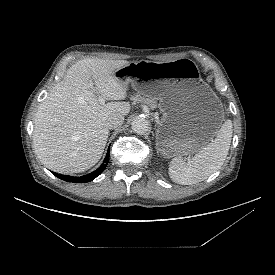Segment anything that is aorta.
I'll return each mask as SVG.
<instances>
[{
    "label": "aorta",
    "mask_w": 275,
    "mask_h": 275,
    "mask_svg": "<svg viewBox=\"0 0 275 275\" xmlns=\"http://www.w3.org/2000/svg\"><path fill=\"white\" fill-rule=\"evenodd\" d=\"M131 124L132 130L137 134H145L150 128L149 121L144 116H136Z\"/></svg>",
    "instance_id": "762f6f07"
}]
</instances>
